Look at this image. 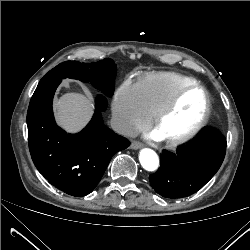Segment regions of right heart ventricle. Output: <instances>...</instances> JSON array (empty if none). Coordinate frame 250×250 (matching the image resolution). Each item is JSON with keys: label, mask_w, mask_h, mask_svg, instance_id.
<instances>
[{"label": "right heart ventricle", "mask_w": 250, "mask_h": 250, "mask_svg": "<svg viewBox=\"0 0 250 250\" xmlns=\"http://www.w3.org/2000/svg\"><path fill=\"white\" fill-rule=\"evenodd\" d=\"M194 82L179 73L157 72L141 77L135 86L152 119L180 87Z\"/></svg>", "instance_id": "e07e8e85"}]
</instances>
